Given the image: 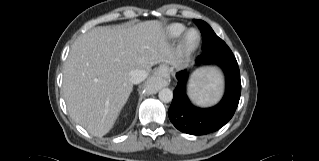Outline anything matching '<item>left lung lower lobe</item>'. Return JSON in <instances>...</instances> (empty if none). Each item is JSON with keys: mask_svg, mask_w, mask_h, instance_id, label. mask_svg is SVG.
Wrapping results in <instances>:
<instances>
[{"mask_svg": "<svg viewBox=\"0 0 319 161\" xmlns=\"http://www.w3.org/2000/svg\"><path fill=\"white\" fill-rule=\"evenodd\" d=\"M197 63L215 64L223 70L226 80L223 99L211 108L203 109L193 106L186 95L188 74L184 70L176 74L178 82L173 92L168 116L173 125L181 132L205 135L217 131L233 117L240 99L241 80L236 60L227 59Z\"/></svg>", "mask_w": 319, "mask_h": 161, "instance_id": "left-lung-lower-lobe-1", "label": "left lung lower lobe"}]
</instances>
